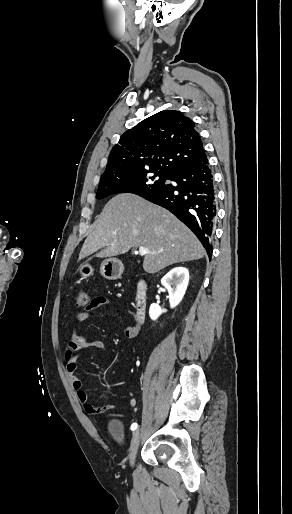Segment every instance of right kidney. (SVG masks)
I'll return each mask as SVG.
<instances>
[{"label":"right kidney","mask_w":292,"mask_h":514,"mask_svg":"<svg viewBox=\"0 0 292 514\" xmlns=\"http://www.w3.org/2000/svg\"><path fill=\"white\" fill-rule=\"evenodd\" d=\"M188 282L189 272L187 268H182V266H179V268H173V270H170V272L162 278L161 284L166 288V290H168V298L171 308H175V306L180 304L187 290ZM162 312H165V310H162L158 304H151L149 308V316L151 320H157Z\"/></svg>","instance_id":"obj_1"}]
</instances>
